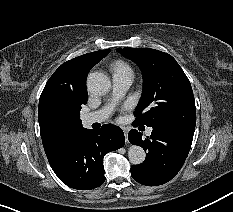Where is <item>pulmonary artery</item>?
Instances as JSON below:
<instances>
[{
	"label": "pulmonary artery",
	"instance_id": "pulmonary-artery-1",
	"mask_svg": "<svg viewBox=\"0 0 233 212\" xmlns=\"http://www.w3.org/2000/svg\"><path fill=\"white\" fill-rule=\"evenodd\" d=\"M133 81V75L130 73H120L113 75V96L114 100L121 98L129 89ZM112 104H108L100 110L84 114L82 116L83 123L90 126L93 123L105 121L111 114ZM152 129H147L146 133L150 135Z\"/></svg>",
	"mask_w": 233,
	"mask_h": 212
}]
</instances>
